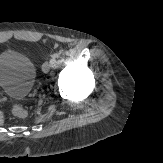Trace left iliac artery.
I'll return each mask as SVG.
<instances>
[{"label":"left iliac artery","mask_w":163,"mask_h":163,"mask_svg":"<svg viewBox=\"0 0 163 163\" xmlns=\"http://www.w3.org/2000/svg\"><path fill=\"white\" fill-rule=\"evenodd\" d=\"M55 58H56V56L52 55V59H51L52 66L55 65V62H56Z\"/></svg>","instance_id":"44dca946"}]
</instances>
